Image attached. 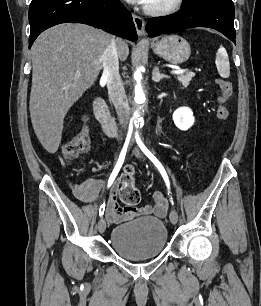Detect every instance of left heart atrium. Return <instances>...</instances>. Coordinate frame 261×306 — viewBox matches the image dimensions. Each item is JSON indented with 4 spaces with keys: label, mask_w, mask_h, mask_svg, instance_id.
I'll return each instance as SVG.
<instances>
[{
    "label": "left heart atrium",
    "mask_w": 261,
    "mask_h": 306,
    "mask_svg": "<svg viewBox=\"0 0 261 306\" xmlns=\"http://www.w3.org/2000/svg\"><path fill=\"white\" fill-rule=\"evenodd\" d=\"M130 3H138V4H148L150 0H126Z\"/></svg>",
    "instance_id": "left-heart-atrium-1"
}]
</instances>
